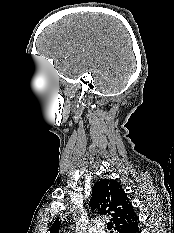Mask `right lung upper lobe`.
<instances>
[{"mask_svg": "<svg viewBox=\"0 0 174 233\" xmlns=\"http://www.w3.org/2000/svg\"><path fill=\"white\" fill-rule=\"evenodd\" d=\"M90 207L100 215H111L117 233H125L139 223L127 194L113 179L101 180L93 186ZM60 223L56 220L50 233H59Z\"/></svg>", "mask_w": 174, "mask_h": 233, "instance_id": "obj_1", "label": "right lung upper lobe"}]
</instances>
